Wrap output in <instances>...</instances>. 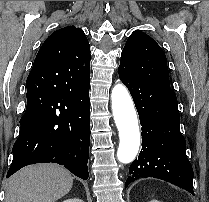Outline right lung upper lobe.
Returning <instances> with one entry per match:
<instances>
[{
	"mask_svg": "<svg viewBox=\"0 0 209 202\" xmlns=\"http://www.w3.org/2000/svg\"><path fill=\"white\" fill-rule=\"evenodd\" d=\"M34 63L48 65L56 75L84 85L90 78V45L82 29L67 26L53 32L38 51Z\"/></svg>",
	"mask_w": 209,
	"mask_h": 202,
	"instance_id": "right-lung-upper-lobe-1",
	"label": "right lung upper lobe"
}]
</instances>
